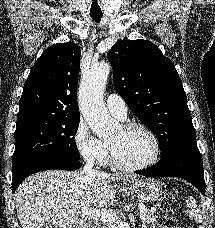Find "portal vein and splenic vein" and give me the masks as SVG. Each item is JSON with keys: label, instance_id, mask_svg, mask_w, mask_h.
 Returning <instances> with one entry per match:
<instances>
[{"label": "portal vein and splenic vein", "instance_id": "1", "mask_svg": "<svg viewBox=\"0 0 215 228\" xmlns=\"http://www.w3.org/2000/svg\"><path fill=\"white\" fill-rule=\"evenodd\" d=\"M138 208L140 212L145 210L144 204H139ZM82 214L86 218H95V220H100V222H114V220H118L117 214L113 210H91V208H84Z\"/></svg>", "mask_w": 215, "mask_h": 228}]
</instances>
